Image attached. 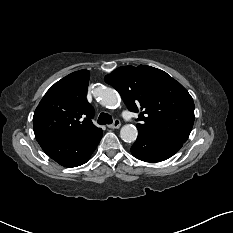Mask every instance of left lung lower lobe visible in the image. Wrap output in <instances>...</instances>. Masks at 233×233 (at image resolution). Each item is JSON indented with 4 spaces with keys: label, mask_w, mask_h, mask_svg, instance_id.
Listing matches in <instances>:
<instances>
[{
    "label": "left lung lower lobe",
    "mask_w": 233,
    "mask_h": 233,
    "mask_svg": "<svg viewBox=\"0 0 233 233\" xmlns=\"http://www.w3.org/2000/svg\"><path fill=\"white\" fill-rule=\"evenodd\" d=\"M183 146L182 142L138 132L131 147L132 154L146 162H160L174 155Z\"/></svg>",
    "instance_id": "1"
}]
</instances>
